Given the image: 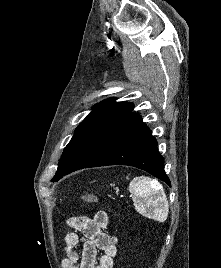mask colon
<instances>
[{"label":"colon","instance_id":"obj_1","mask_svg":"<svg viewBox=\"0 0 221 268\" xmlns=\"http://www.w3.org/2000/svg\"><path fill=\"white\" fill-rule=\"evenodd\" d=\"M83 203L91 204L97 201V197L94 195H85L81 197Z\"/></svg>","mask_w":221,"mask_h":268}]
</instances>
